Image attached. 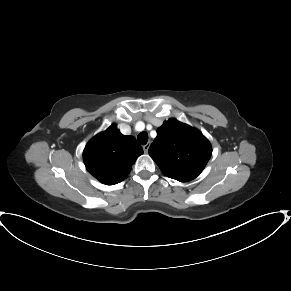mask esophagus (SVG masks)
Returning <instances> with one entry per match:
<instances>
[{"label":"esophagus","instance_id":"esophagus-1","mask_svg":"<svg viewBox=\"0 0 291 291\" xmlns=\"http://www.w3.org/2000/svg\"><path fill=\"white\" fill-rule=\"evenodd\" d=\"M149 147H150V143L149 142L143 146V150H144L145 153H148Z\"/></svg>","mask_w":291,"mask_h":291}]
</instances>
